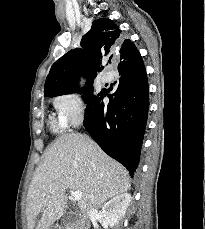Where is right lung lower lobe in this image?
<instances>
[{"mask_svg":"<svg viewBox=\"0 0 205 229\" xmlns=\"http://www.w3.org/2000/svg\"><path fill=\"white\" fill-rule=\"evenodd\" d=\"M116 92L102 90L97 97L85 96L84 126L94 141L112 158L123 164L133 177L139 163L149 107L148 80L142 61L119 70ZM109 97L107 106L103 103Z\"/></svg>","mask_w":205,"mask_h":229,"instance_id":"right-lung-lower-lobe-1","label":"right lung lower lobe"}]
</instances>
